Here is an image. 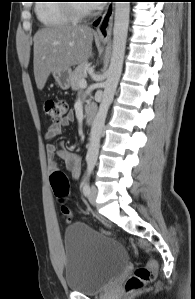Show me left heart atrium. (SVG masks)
Returning a JSON list of instances; mask_svg holds the SVG:
<instances>
[{
	"mask_svg": "<svg viewBox=\"0 0 195 299\" xmlns=\"http://www.w3.org/2000/svg\"><path fill=\"white\" fill-rule=\"evenodd\" d=\"M101 0H93V1H91L92 3L91 4H89V6H91V7H99V6H101L104 2H100Z\"/></svg>",
	"mask_w": 195,
	"mask_h": 299,
	"instance_id": "obj_1",
	"label": "left heart atrium"
}]
</instances>
